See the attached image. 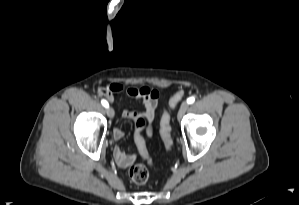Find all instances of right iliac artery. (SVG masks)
<instances>
[{
    "label": "right iliac artery",
    "instance_id": "1",
    "mask_svg": "<svg viewBox=\"0 0 299 205\" xmlns=\"http://www.w3.org/2000/svg\"><path fill=\"white\" fill-rule=\"evenodd\" d=\"M101 104H102L104 107H106V108L109 107L108 102H107L106 100H104V99L101 100Z\"/></svg>",
    "mask_w": 299,
    "mask_h": 205
}]
</instances>
